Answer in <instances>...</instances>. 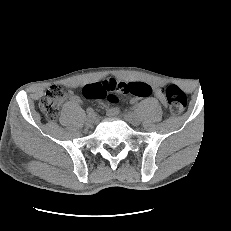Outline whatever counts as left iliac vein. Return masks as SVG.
<instances>
[{
    "label": "left iliac vein",
    "instance_id": "4c4485c4",
    "mask_svg": "<svg viewBox=\"0 0 231 231\" xmlns=\"http://www.w3.org/2000/svg\"><path fill=\"white\" fill-rule=\"evenodd\" d=\"M125 120L134 126H138L141 122L140 118L134 113L125 114Z\"/></svg>",
    "mask_w": 231,
    "mask_h": 231
}]
</instances>
